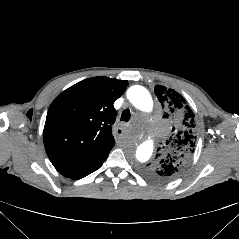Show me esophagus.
Listing matches in <instances>:
<instances>
[{"instance_id":"esophagus-1","label":"esophagus","mask_w":239,"mask_h":239,"mask_svg":"<svg viewBox=\"0 0 239 239\" xmlns=\"http://www.w3.org/2000/svg\"><path fill=\"white\" fill-rule=\"evenodd\" d=\"M114 135L116 137H122L124 135V130L120 127L115 128Z\"/></svg>"}]
</instances>
